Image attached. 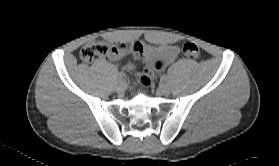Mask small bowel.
Here are the masks:
<instances>
[{
    "mask_svg": "<svg viewBox=\"0 0 279 166\" xmlns=\"http://www.w3.org/2000/svg\"><path fill=\"white\" fill-rule=\"evenodd\" d=\"M141 51L135 53L136 57L146 61L148 63L147 73L149 75L153 74L156 71H161L168 64L172 63L179 54V49L174 45H161V46H152L149 44H140ZM110 60H117L120 55L115 53H110L107 55ZM135 65L132 62H128L125 65L126 70H133Z\"/></svg>",
    "mask_w": 279,
    "mask_h": 166,
    "instance_id": "1",
    "label": "small bowel"
}]
</instances>
